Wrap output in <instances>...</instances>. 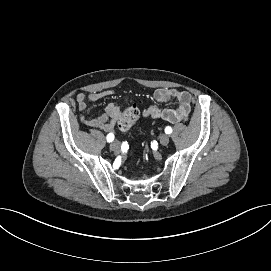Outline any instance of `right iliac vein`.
I'll list each match as a JSON object with an SVG mask.
<instances>
[{
  "label": "right iliac vein",
  "instance_id": "1",
  "mask_svg": "<svg viewBox=\"0 0 271 271\" xmlns=\"http://www.w3.org/2000/svg\"><path fill=\"white\" fill-rule=\"evenodd\" d=\"M120 148V144L118 141H113L110 145V149L114 152L118 151Z\"/></svg>",
  "mask_w": 271,
  "mask_h": 271
}]
</instances>
